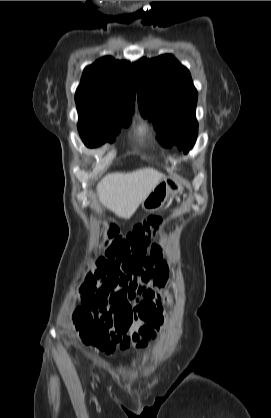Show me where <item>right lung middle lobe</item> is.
Returning <instances> with one entry per match:
<instances>
[{
    "mask_svg": "<svg viewBox=\"0 0 271 418\" xmlns=\"http://www.w3.org/2000/svg\"><path fill=\"white\" fill-rule=\"evenodd\" d=\"M79 114L78 130L88 147H97L106 141L113 142L121 126L128 127L131 115H105L88 110L77 109Z\"/></svg>",
    "mask_w": 271,
    "mask_h": 418,
    "instance_id": "right-lung-middle-lobe-1",
    "label": "right lung middle lobe"
}]
</instances>
